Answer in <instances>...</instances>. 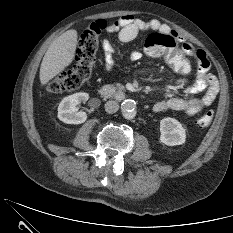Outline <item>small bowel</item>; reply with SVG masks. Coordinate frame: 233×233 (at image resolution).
<instances>
[{"label":"small bowel","instance_id":"c3829d8e","mask_svg":"<svg viewBox=\"0 0 233 233\" xmlns=\"http://www.w3.org/2000/svg\"><path fill=\"white\" fill-rule=\"evenodd\" d=\"M109 30L117 33V39L121 43L132 41L139 33L144 31H159L172 34L181 42V49L184 54L196 62L197 77L195 81L190 83L188 80L180 78L175 82V87L183 89L190 95L203 94L200 97L187 99L170 97L160 100L153 105L155 112L173 110L192 116L210 106L216 99L219 93V82L216 76L210 72L211 65L206 53L191 43L181 40L168 25L157 19L143 20L133 15H124L115 21L109 27ZM103 50L105 53L103 70L109 72L113 64L115 46L110 41H104ZM140 58L141 54L137 51L132 52L130 55L132 61H137Z\"/></svg>","mask_w":233,"mask_h":233}]
</instances>
